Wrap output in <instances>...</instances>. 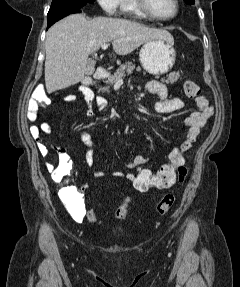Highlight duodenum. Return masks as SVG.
Wrapping results in <instances>:
<instances>
[{
	"mask_svg": "<svg viewBox=\"0 0 240 287\" xmlns=\"http://www.w3.org/2000/svg\"><path fill=\"white\" fill-rule=\"evenodd\" d=\"M105 75H106V69H105V67L99 66V67L96 69V71H95L94 75L92 76V78H90V79L84 84V87L89 86V84H90V82H91L92 80H100V79L104 78Z\"/></svg>",
	"mask_w": 240,
	"mask_h": 287,
	"instance_id": "410a0bca",
	"label": "duodenum"
}]
</instances>
